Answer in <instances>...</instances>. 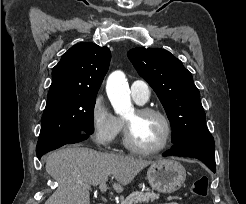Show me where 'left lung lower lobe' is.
Here are the masks:
<instances>
[{
  "label": "left lung lower lobe",
  "mask_w": 246,
  "mask_h": 204,
  "mask_svg": "<svg viewBox=\"0 0 246 204\" xmlns=\"http://www.w3.org/2000/svg\"><path fill=\"white\" fill-rule=\"evenodd\" d=\"M215 143L209 131L190 136L175 143L163 156H185L201 160L212 172H216Z\"/></svg>",
  "instance_id": "0a47b994"
}]
</instances>
